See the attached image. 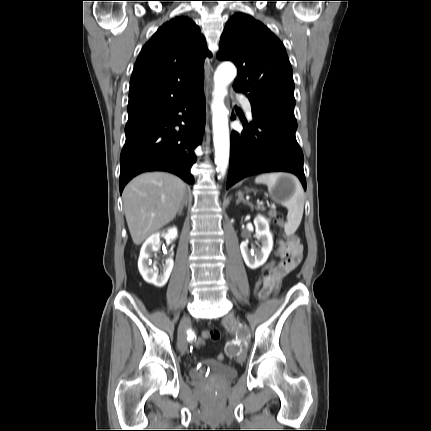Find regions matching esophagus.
Masks as SVG:
<instances>
[{"instance_id":"obj_1","label":"esophagus","mask_w":431,"mask_h":431,"mask_svg":"<svg viewBox=\"0 0 431 431\" xmlns=\"http://www.w3.org/2000/svg\"><path fill=\"white\" fill-rule=\"evenodd\" d=\"M212 72H213V69L211 68L210 69V74H209V77H208V90H209V92H211V89H212V86H213Z\"/></svg>"}]
</instances>
